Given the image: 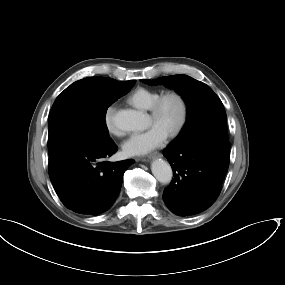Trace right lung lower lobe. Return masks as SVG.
Instances as JSON below:
<instances>
[{"label":"right lung lower lobe","instance_id":"98d812e1","mask_svg":"<svg viewBox=\"0 0 285 285\" xmlns=\"http://www.w3.org/2000/svg\"><path fill=\"white\" fill-rule=\"evenodd\" d=\"M117 152L112 140L82 142L49 157V176L62 203L75 213L98 215L117 199L125 169L132 159L107 162Z\"/></svg>","mask_w":285,"mask_h":285}]
</instances>
